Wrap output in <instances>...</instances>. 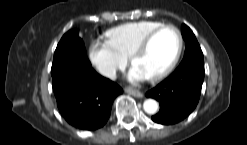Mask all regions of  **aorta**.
Returning <instances> with one entry per match:
<instances>
[{
	"label": "aorta",
	"mask_w": 247,
	"mask_h": 145,
	"mask_svg": "<svg viewBox=\"0 0 247 145\" xmlns=\"http://www.w3.org/2000/svg\"><path fill=\"white\" fill-rule=\"evenodd\" d=\"M158 103L154 99H147L143 103L144 111L147 114H155L158 111Z\"/></svg>",
	"instance_id": "762f6f07"
}]
</instances>
